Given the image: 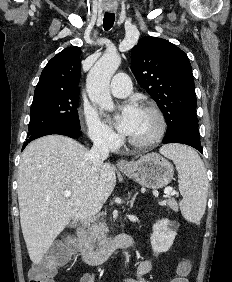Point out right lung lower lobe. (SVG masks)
<instances>
[{"label": "right lung lower lobe", "instance_id": "1", "mask_svg": "<svg viewBox=\"0 0 232 282\" xmlns=\"http://www.w3.org/2000/svg\"><path fill=\"white\" fill-rule=\"evenodd\" d=\"M51 134L66 135V136H69L71 138H78L79 136H81V132L78 129L69 127L67 125H56V126L46 128V129H44L40 132H37L35 134L28 136V139L24 143L22 150L26 147V145L30 141L37 139L39 137H42V136H45V135H51Z\"/></svg>", "mask_w": 232, "mask_h": 282}]
</instances>
